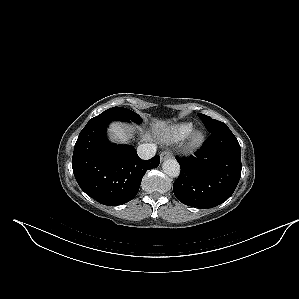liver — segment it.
<instances>
[{"label":"liver","instance_id":"liver-1","mask_svg":"<svg viewBox=\"0 0 299 299\" xmlns=\"http://www.w3.org/2000/svg\"><path fill=\"white\" fill-rule=\"evenodd\" d=\"M165 123L162 121H158L153 125V128L156 133H159L162 129L165 128ZM110 134L112 139L117 140L119 142H125L130 136V129L125 127L122 124L119 123H113L110 126ZM149 137L148 136H143V140H147Z\"/></svg>","mask_w":299,"mask_h":299}]
</instances>
